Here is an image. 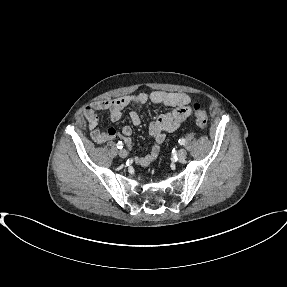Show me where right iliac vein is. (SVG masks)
<instances>
[{
  "label": "right iliac vein",
  "instance_id": "obj_1",
  "mask_svg": "<svg viewBox=\"0 0 287 287\" xmlns=\"http://www.w3.org/2000/svg\"><path fill=\"white\" fill-rule=\"evenodd\" d=\"M119 156H120L121 158H126V157L128 156V153H127V151H126L125 149H121V150L119 151Z\"/></svg>",
  "mask_w": 287,
  "mask_h": 287
}]
</instances>
